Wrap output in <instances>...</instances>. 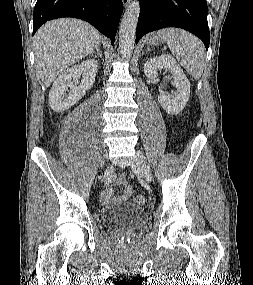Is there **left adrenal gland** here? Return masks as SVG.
<instances>
[{"label": "left adrenal gland", "instance_id": "a2214340", "mask_svg": "<svg viewBox=\"0 0 253 285\" xmlns=\"http://www.w3.org/2000/svg\"><path fill=\"white\" fill-rule=\"evenodd\" d=\"M150 49L149 48H147V50L146 51H149Z\"/></svg>", "mask_w": 253, "mask_h": 285}]
</instances>
